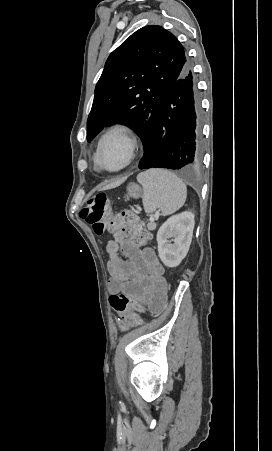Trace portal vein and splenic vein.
Here are the masks:
<instances>
[{
	"label": "portal vein and splenic vein",
	"mask_w": 272,
	"mask_h": 451,
	"mask_svg": "<svg viewBox=\"0 0 272 451\" xmlns=\"http://www.w3.org/2000/svg\"><path fill=\"white\" fill-rule=\"evenodd\" d=\"M156 218H158L157 214H155Z\"/></svg>",
	"instance_id": "portal-vein-and-splenic-vein-1"
}]
</instances>
